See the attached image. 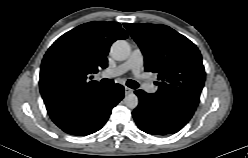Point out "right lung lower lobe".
I'll use <instances>...</instances> for the list:
<instances>
[{
	"instance_id": "obj_1",
	"label": "right lung lower lobe",
	"mask_w": 248,
	"mask_h": 158,
	"mask_svg": "<svg viewBox=\"0 0 248 158\" xmlns=\"http://www.w3.org/2000/svg\"><path fill=\"white\" fill-rule=\"evenodd\" d=\"M124 97V87H99L64 104L48 108L52 121L71 135L92 134L106 123L111 110Z\"/></svg>"
}]
</instances>
